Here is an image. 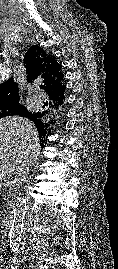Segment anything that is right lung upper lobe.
Here are the masks:
<instances>
[{"label":"right lung upper lobe","instance_id":"obj_1","mask_svg":"<svg viewBox=\"0 0 118 269\" xmlns=\"http://www.w3.org/2000/svg\"><path fill=\"white\" fill-rule=\"evenodd\" d=\"M24 63L28 82L41 81L50 100L49 108H45L40 112L32 113L24 108L20 113L21 116L28 117L34 121L40 132V139H42L47 133L48 124L46 120L50 118V108L57 109L58 106L63 105L65 99L64 74L62 73V66L57 62L55 56L47 54L38 45H33L28 49ZM18 92V84L13 77L0 84V107L18 104L20 99Z\"/></svg>","mask_w":118,"mask_h":269}]
</instances>
